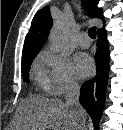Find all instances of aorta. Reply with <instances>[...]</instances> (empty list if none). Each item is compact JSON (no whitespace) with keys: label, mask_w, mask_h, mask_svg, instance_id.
Returning <instances> with one entry per match:
<instances>
[{"label":"aorta","mask_w":123,"mask_h":130,"mask_svg":"<svg viewBox=\"0 0 123 130\" xmlns=\"http://www.w3.org/2000/svg\"><path fill=\"white\" fill-rule=\"evenodd\" d=\"M50 42L54 51L60 52L67 46V32L63 22L54 24L50 31Z\"/></svg>","instance_id":"1"}]
</instances>
